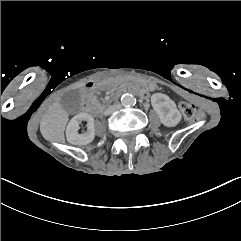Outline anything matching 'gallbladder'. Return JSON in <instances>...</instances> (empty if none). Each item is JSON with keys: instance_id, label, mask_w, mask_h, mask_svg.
<instances>
[{"instance_id": "bac80fb5", "label": "gallbladder", "mask_w": 241, "mask_h": 241, "mask_svg": "<svg viewBox=\"0 0 241 241\" xmlns=\"http://www.w3.org/2000/svg\"><path fill=\"white\" fill-rule=\"evenodd\" d=\"M81 99L80 92L70 90L66 92L61 99L63 108L70 114L76 115L81 112L82 106L79 102Z\"/></svg>"}]
</instances>
